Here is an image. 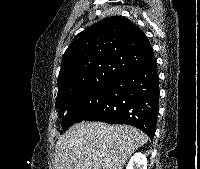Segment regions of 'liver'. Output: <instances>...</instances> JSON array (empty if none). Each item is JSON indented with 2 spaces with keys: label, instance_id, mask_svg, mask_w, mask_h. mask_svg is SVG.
Instances as JSON below:
<instances>
[{
  "label": "liver",
  "instance_id": "1",
  "mask_svg": "<svg viewBox=\"0 0 200 169\" xmlns=\"http://www.w3.org/2000/svg\"><path fill=\"white\" fill-rule=\"evenodd\" d=\"M147 141V135L132 126L83 121L56 142L54 169H123Z\"/></svg>",
  "mask_w": 200,
  "mask_h": 169
}]
</instances>
